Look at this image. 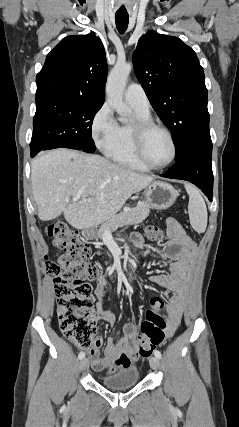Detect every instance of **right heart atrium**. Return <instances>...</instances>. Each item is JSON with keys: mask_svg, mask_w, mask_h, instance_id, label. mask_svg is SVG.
I'll use <instances>...</instances> for the list:
<instances>
[{"mask_svg": "<svg viewBox=\"0 0 239 427\" xmlns=\"http://www.w3.org/2000/svg\"><path fill=\"white\" fill-rule=\"evenodd\" d=\"M91 134L95 145L103 152H106L115 142L118 123L108 104L102 105L94 115L91 122Z\"/></svg>", "mask_w": 239, "mask_h": 427, "instance_id": "obj_1", "label": "right heart atrium"}]
</instances>
